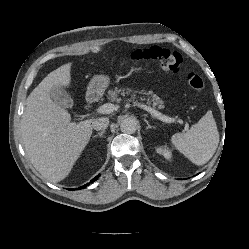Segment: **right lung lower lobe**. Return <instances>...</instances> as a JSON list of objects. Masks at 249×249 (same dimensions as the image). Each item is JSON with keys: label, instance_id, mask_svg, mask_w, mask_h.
<instances>
[{"label": "right lung lower lobe", "instance_id": "1", "mask_svg": "<svg viewBox=\"0 0 249 249\" xmlns=\"http://www.w3.org/2000/svg\"><path fill=\"white\" fill-rule=\"evenodd\" d=\"M99 176H100V175H97L95 178H93V179L90 181V183H93L95 180H97ZM90 183H87L86 185L81 186V187L77 188L76 190L82 189V188L86 187L87 185H89ZM69 190H74V189H69Z\"/></svg>", "mask_w": 249, "mask_h": 249}]
</instances>
